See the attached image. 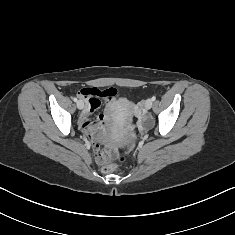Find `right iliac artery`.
<instances>
[{
    "mask_svg": "<svg viewBox=\"0 0 235 235\" xmlns=\"http://www.w3.org/2000/svg\"><path fill=\"white\" fill-rule=\"evenodd\" d=\"M73 101H74V102H77V101H78V99H77L76 97H74V98H73Z\"/></svg>",
    "mask_w": 235,
    "mask_h": 235,
    "instance_id": "right-iliac-artery-1",
    "label": "right iliac artery"
}]
</instances>
